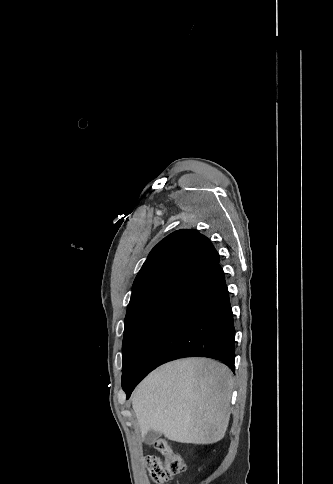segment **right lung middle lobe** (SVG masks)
Masks as SVG:
<instances>
[{"label":"right lung middle lobe","instance_id":"1","mask_svg":"<svg viewBox=\"0 0 333 484\" xmlns=\"http://www.w3.org/2000/svg\"><path fill=\"white\" fill-rule=\"evenodd\" d=\"M169 294H162L127 311L122 346V387L127 384L142 335L153 314Z\"/></svg>","mask_w":333,"mask_h":484}]
</instances>
